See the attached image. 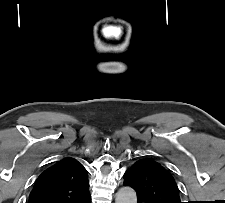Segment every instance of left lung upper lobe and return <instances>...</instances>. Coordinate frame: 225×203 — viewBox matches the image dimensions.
Instances as JSON below:
<instances>
[{
  "label": "left lung upper lobe",
  "instance_id": "left-lung-upper-lobe-1",
  "mask_svg": "<svg viewBox=\"0 0 225 203\" xmlns=\"http://www.w3.org/2000/svg\"><path fill=\"white\" fill-rule=\"evenodd\" d=\"M123 177V185L137 192L138 203H181L173 176L152 159L138 160Z\"/></svg>",
  "mask_w": 225,
  "mask_h": 203
}]
</instances>
